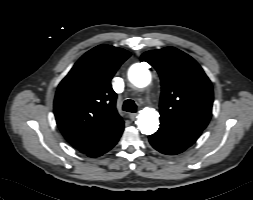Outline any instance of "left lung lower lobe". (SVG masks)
<instances>
[{
  "mask_svg": "<svg viewBox=\"0 0 253 200\" xmlns=\"http://www.w3.org/2000/svg\"><path fill=\"white\" fill-rule=\"evenodd\" d=\"M202 130L160 118L159 130L149 136V142L157 151L166 155H176L190 147L201 135Z\"/></svg>",
  "mask_w": 253,
  "mask_h": 200,
  "instance_id": "1",
  "label": "left lung lower lobe"
}]
</instances>
